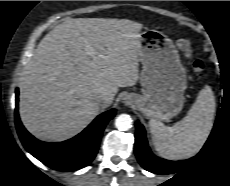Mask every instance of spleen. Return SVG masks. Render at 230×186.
Segmentation results:
<instances>
[{"instance_id": "obj_1", "label": "spleen", "mask_w": 230, "mask_h": 186, "mask_svg": "<svg viewBox=\"0 0 230 186\" xmlns=\"http://www.w3.org/2000/svg\"><path fill=\"white\" fill-rule=\"evenodd\" d=\"M215 106L214 93L205 86L187 115L174 126L168 127L159 120L151 119L149 128L157 152L172 160L197 154L213 127Z\"/></svg>"}]
</instances>
